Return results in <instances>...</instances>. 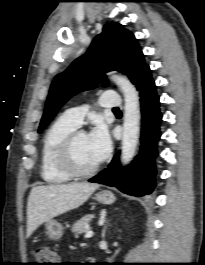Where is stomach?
<instances>
[{"label":"stomach","instance_id":"1","mask_svg":"<svg viewBox=\"0 0 205 265\" xmlns=\"http://www.w3.org/2000/svg\"><path fill=\"white\" fill-rule=\"evenodd\" d=\"M94 198L99 203L106 205L112 204L115 201V196L113 193L107 190L98 192ZM45 227L47 230V235L50 239L59 240L62 237L63 227L58 221L53 219L48 220L45 223Z\"/></svg>","mask_w":205,"mask_h":265}]
</instances>
